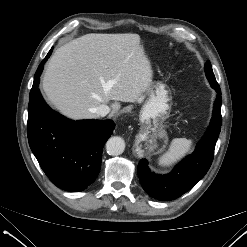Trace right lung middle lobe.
<instances>
[{
	"mask_svg": "<svg viewBox=\"0 0 247 247\" xmlns=\"http://www.w3.org/2000/svg\"><path fill=\"white\" fill-rule=\"evenodd\" d=\"M51 52H52V49L49 51L48 55L45 57V59L39 65V67H38V69L36 71L35 77H34V82H38L39 81V80H37L35 78H39L40 77L41 72L43 70V64L45 63V61L47 60V58L50 56Z\"/></svg>",
	"mask_w": 247,
	"mask_h": 247,
	"instance_id": "dd1d6c3e",
	"label": "right lung middle lobe"
}]
</instances>
